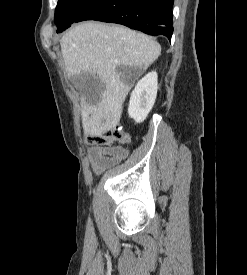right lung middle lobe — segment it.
Here are the masks:
<instances>
[{"label": "right lung middle lobe", "instance_id": "obj_1", "mask_svg": "<svg viewBox=\"0 0 247 275\" xmlns=\"http://www.w3.org/2000/svg\"><path fill=\"white\" fill-rule=\"evenodd\" d=\"M98 0H58L55 9L57 33H61L73 24L77 18Z\"/></svg>", "mask_w": 247, "mask_h": 275}]
</instances>
